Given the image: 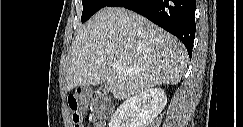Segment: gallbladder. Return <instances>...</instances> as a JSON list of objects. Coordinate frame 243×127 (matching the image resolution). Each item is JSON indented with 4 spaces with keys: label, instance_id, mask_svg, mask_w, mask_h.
Instances as JSON below:
<instances>
[{
    "label": "gallbladder",
    "instance_id": "bac80fb5",
    "mask_svg": "<svg viewBox=\"0 0 243 127\" xmlns=\"http://www.w3.org/2000/svg\"><path fill=\"white\" fill-rule=\"evenodd\" d=\"M104 92H106V84H104Z\"/></svg>",
    "mask_w": 243,
    "mask_h": 127
}]
</instances>
